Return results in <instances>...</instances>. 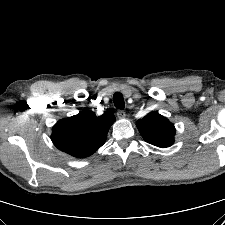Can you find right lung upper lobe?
I'll return each instance as SVG.
<instances>
[{
	"instance_id": "1",
	"label": "right lung upper lobe",
	"mask_w": 225,
	"mask_h": 225,
	"mask_svg": "<svg viewBox=\"0 0 225 225\" xmlns=\"http://www.w3.org/2000/svg\"><path fill=\"white\" fill-rule=\"evenodd\" d=\"M114 121L115 116L111 112L97 117L94 112L84 110L59 120L52 128L51 139L61 151L76 158H85L105 143Z\"/></svg>"
}]
</instances>
